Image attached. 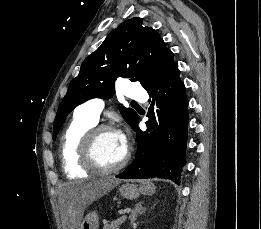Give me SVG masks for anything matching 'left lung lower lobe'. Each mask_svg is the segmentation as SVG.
I'll return each mask as SVG.
<instances>
[{
    "label": "left lung lower lobe",
    "mask_w": 261,
    "mask_h": 229,
    "mask_svg": "<svg viewBox=\"0 0 261 229\" xmlns=\"http://www.w3.org/2000/svg\"><path fill=\"white\" fill-rule=\"evenodd\" d=\"M179 74L176 63L145 88L153 97L147 114V131L138 128L137 115L132 126L137 132L136 158L117 178L158 177L177 181L181 177L186 164L188 100ZM154 101L157 116L153 111Z\"/></svg>",
    "instance_id": "left-lung-lower-lobe-1"
}]
</instances>
